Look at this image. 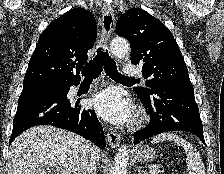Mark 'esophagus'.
<instances>
[{
	"label": "esophagus",
	"mask_w": 224,
	"mask_h": 174,
	"mask_svg": "<svg viewBox=\"0 0 224 174\" xmlns=\"http://www.w3.org/2000/svg\"><path fill=\"white\" fill-rule=\"evenodd\" d=\"M115 17L111 7L104 6L102 9V21H101V33L100 42L102 46L107 47L110 35L114 29ZM107 140L112 148L119 146L120 135L113 130H109L107 133Z\"/></svg>",
	"instance_id": "obj_1"
}]
</instances>
